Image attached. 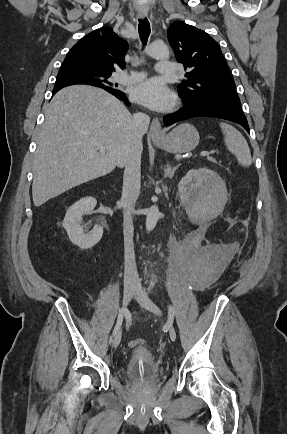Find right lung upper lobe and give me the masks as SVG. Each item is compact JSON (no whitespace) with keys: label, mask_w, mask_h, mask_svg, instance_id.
Returning <instances> with one entry per match:
<instances>
[{"label":"right lung upper lobe","mask_w":287,"mask_h":434,"mask_svg":"<svg viewBox=\"0 0 287 434\" xmlns=\"http://www.w3.org/2000/svg\"><path fill=\"white\" fill-rule=\"evenodd\" d=\"M127 49V42L118 37L112 28H101L86 35L72 47L61 69H79L112 75L116 69L125 67L123 58ZM73 84L75 83L55 84L53 91Z\"/></svg>","instance_id":"1"}]
</instances>
